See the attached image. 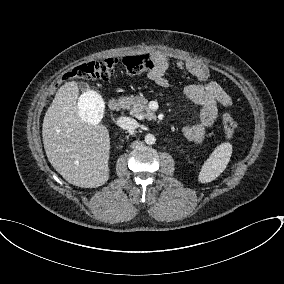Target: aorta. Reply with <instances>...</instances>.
I'll list each match as a JSON object with an SVG mask.
<instances>
[{
  "mask_svg": "<svg viewBox=\"0 0 284 284\" xmlns=\"http://www.w3.org/2000/svg\"><path fill=\"white\" fill-rule=\"evenodd\" d=\"M145 142L148 145H152V144H154L156 142V138H155V136L153 134H147L145 136Z\"/></svg>",
  "mask_w": 284,
  "mask_h": 284,
  "instance_id": "aorta-1",
  "label": "aorta"
}]
</instances>
